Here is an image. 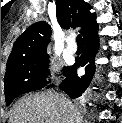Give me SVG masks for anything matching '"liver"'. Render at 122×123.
<instances>
[{
    "label": "liver",
    "mask_w": 122,
    "mask_h": 123,
    "mask_svg": "<svg viewBox=\"0 0 122 123\" xmlns=\"http://www.w3.org/2000/svg\"><path fill=\"white\" fill-rule=\"evenodd\" d=\"M79 110L63 95L51 91L24 96L14 106L9 123H81Z\"/></svg>",
    "instance_id": "obj_1"
}]
</instances>
